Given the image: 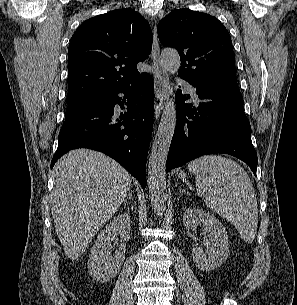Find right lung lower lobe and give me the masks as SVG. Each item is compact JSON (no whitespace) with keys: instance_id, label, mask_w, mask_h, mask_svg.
I'll list each match as a JSON object with an SVG mask.
<instances>
[{"instance_id":"1","label":"right lung lower lobe","mask_w":297,"mask_h":305,"mask_svg":"<svg viewBox=\"0 0 297 305\" xmlns=\"http://www.w3.org/2000/svg\"><path fill=\"white\" fill-rule=\"evenodd\" d=\"M124 94V98L118 96ZM127 112L119 113L116 104ZM154 84L148 74L108 92L103 101L65 119L51 168L76 148L103 152L119 162L146 187V161L153 129Z\"/></svg>"}]
</instances>
